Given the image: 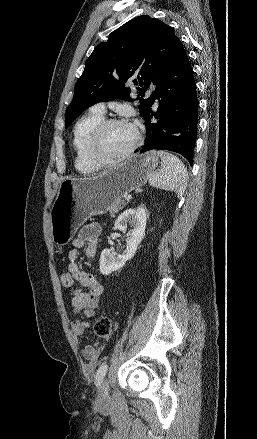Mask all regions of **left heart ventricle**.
Listing matches in <instances>:
<instances>
[{
  "label": "left heart ventricle",
  "mask_w": 257,
  "mask_h": 439,
  "mask_svg": "<svg viewBox=\"0 0 257 439\" xmlns=\"http://www.w3.org/2000/svg\"><path fill=\"white\" fill-rule=\"evenodd\" d=\"M135 139V131L129 125H114L103 134L98 146L99 154L105 158H114L126 150Z\"/></svg>",
  "instance_id": "b2bd125f"
}]
</instances>
